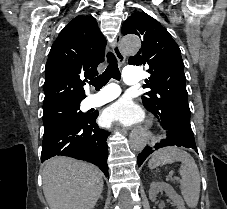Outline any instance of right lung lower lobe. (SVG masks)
<instances>
[{
    "mask_svg": "<svg viewBox=\"0 0 227 209\" xmlns=\"http://www.w3.org/2000/svg\"><path fill=\"white\" fill-rule=\"evenodd\" d=\"M97 114H85L76 122H70L43 136L41 161L53 156H68L97 165L108 177L109 133L95 123Z\"/></svg>",
    "mask_w": 227,
    "mask_h": 209,
    "instance_id": "1",
    "label": "right lung lower lobe"
}]
</instances>
